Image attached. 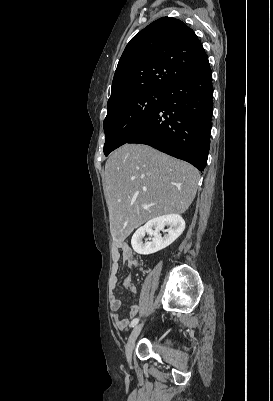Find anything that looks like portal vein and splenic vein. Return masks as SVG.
Returning a JSON list of instances; mask_svg holds the SVG:
<instances>
[{"label":"portal vein and splenic vein","instance_id":"18ae733b","mask_svg":"<svg viewBox=\"0 0 273 401\" xmlns=\"http://www.w3.org/2000/svg\"><path fill=\"white\" fill-rule=\"evenodd\" d=\"M143 209H149V205H142Z\"/></svg>","mask_w":273,"mask_h":401}]
</instances>
